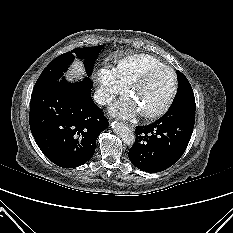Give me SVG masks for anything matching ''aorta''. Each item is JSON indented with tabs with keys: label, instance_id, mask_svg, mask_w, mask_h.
I'll list each match as a JSON object with an SVG mask.
<instances>
[{
	"label": "aorta",
	"instance_id": "obj_1",
	"mask_svg": "<svg viewBox=\"0 0 233 233\" xmlns=\"http://www.w3.org/2000/svg\"><path fill=\"white\" fill-rule=\"evenodd\" d=\"M113 131L117 134L124 143L127 145H133L135 143L134 132L121 122H113Z\"/></svg>",
	"mask_w": 233,
	"mask_h": 233
}]
</instances>
